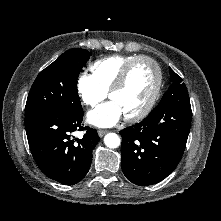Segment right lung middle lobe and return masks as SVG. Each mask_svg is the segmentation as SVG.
Here are the masks:
<instances>
[{"mask_svg": "<svg viewBox=\"0 0 221 221\" xmlns=\"http://www.w3.org/2000/svg\"><path fill=\"white\" fill-rule=\"evenodd\" d=\"M90 56L85 49H70L41 71L28 94L25 117L49 110L83 112L77 79Z\"/></svg>", "mask_w": 221, "mask_h": 221, "instance_id": "obj_1", "label": "right lung middle lobe"}]
</instances>
